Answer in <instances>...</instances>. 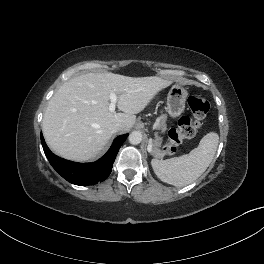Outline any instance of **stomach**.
Instances as JSON below:
<instances>
[{"label":"stomach","mask_w":264,"mask_h":264,"mask_svg":"<svg viewBox=\"0 0 264 264\" xmlns=\"http://www.w3.org/2000/svg\"><path fill=\"white\" fill-rule=\"evenodd\" d=\"M188 92L179 84H174L167 96V110L171 117H178L185 109Z\"/></svg>","instance_id":"0dacf381"}]
</instances>
